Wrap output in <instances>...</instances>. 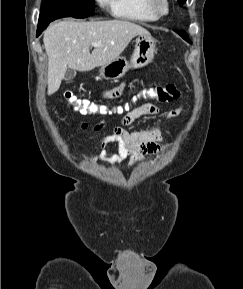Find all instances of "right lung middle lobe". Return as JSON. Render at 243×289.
I'll return each instance as SVG.
<instances>
[{
	"label": "right lung middle lobe",
	"mask_w": 243,
	"mask_h": 289,
	"mask_svg": "<svg viewBox=\"0 0 243 289\" xmlns=\"http://www.w3.org/2000/svg\"><path fill=\"white\" fill-rule=\"evenodd\" d=\"M94 0H43L40 16L86 18L94 13Z\"/></svg>",
	"instance_id": "obj_1"
}]
</instances>
